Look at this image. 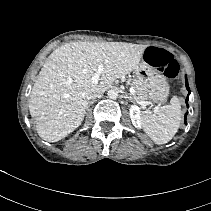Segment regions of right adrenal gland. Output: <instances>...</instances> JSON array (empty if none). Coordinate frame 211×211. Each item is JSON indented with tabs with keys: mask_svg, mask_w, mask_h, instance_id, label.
Wrapping results in <instances>:
<instances>
[{
	"mask_svg": "<svg viewBox=\"0 0 211 211\" xmlns=\"http://www.w3.org/2000/svg\"><path fill=\"white\" fill-rule=\"evenodd\" d=\"M93 103H94V100L89 101L87 108H88L91 104H93Z\"/></svg>",
	"mask_w": 211,
	"mask_h": 211,
	"instance_id": "2a0ac1e0",
	"label": "right adrenal gland"
}]
</instances>
